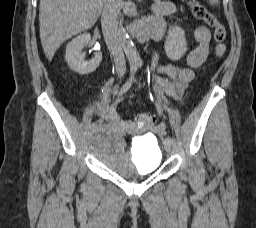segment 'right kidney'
Returning a JSON list of instances; mask_svg holds the SVG:
<instances>
[{"label": "right kidney", "instance_id": "ca27d5eb", "mask_svg": "<svg viewBox=\"0 0 256 228\" xmlns=\"http://www.w3.org/2000/svg\"><path fill=\"white\" fill-rule=\"evenodd\" d=\"M90 41V34L84 33L70 41L66 47L65 60L70 69L80 75L92 73L97 69L102 61L101 52H96L93 59L90 61H85L82 57L81 50L83 46L89 44Z\"/></svg>", "mask_w": 256, "mask_h": 228}]
</instances>
